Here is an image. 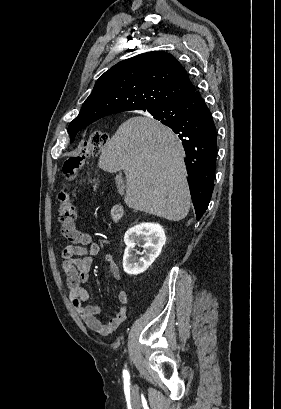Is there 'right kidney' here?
<instances>
[{"label":"right kidney","mask_w":281,"mask_h":409,"mask_svg":"<svg viewBox=\"0 0 281 409\" xmlns=\"http://www.w3.org/2000/svg\"><path fill=\"white\" fill-rule=\"evenodd\" d=\"M124 243L123 269L127 275H140L159 257L166 243V235L158 223H140L126 231ZM140 243L145 249L144 257L134 255V247Z\"/></svg>","instance_id":"obj_1"}]
</instances>
